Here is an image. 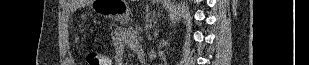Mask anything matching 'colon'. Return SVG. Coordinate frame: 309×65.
I'll return each instance as SVG.
<instances>
[{
    "label": "colon",
    "instance_id": "obj_1",
    "mask_svg": "<svg viewBox=\"0 0 309 65\" xmlns=\"http://www.w3.org/2000/svg\"><path fill=\"white\" fill-rule=\"evenodd\" d=\"M84 60L87 65H104L106 63L105 56L94 49L84 51Z\"/></svg>",
    "mask_w": 309,
    "mask_h": 65
}]
</instances>
